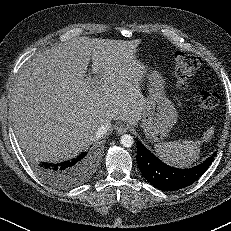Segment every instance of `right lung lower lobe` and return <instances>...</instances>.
I'll return each mask as SVG.
<instances>
[{
    "label": "right lung lower lobe",
    "mask_w": 231,
    "mask_h": 231,
    "mask_svg": "<svg viewBox=\"0 0 231 231\" xmlns=\"http://www.w3.org/2000/svg\"><path fill=\"white\" fill-rule=\"evenodd\" d=\"M98 161L95 150L82 152L72 160L61 163L42 162L37 164L39 175L51 185L72 188L87 180L94 172Z\"/></svg>",
    "instance_id": "1"
}]
</instances>
